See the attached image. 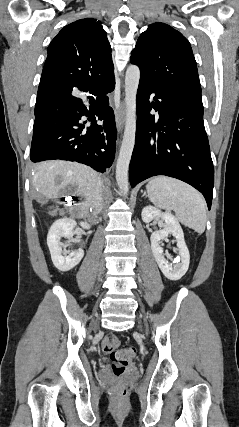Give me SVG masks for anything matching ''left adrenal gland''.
<instances>
[{
	"instance_id": "a2214340",
	"label": "left adrenal gland",
	"mask_w": 239,
	"mask_h": 427,
	"mask_svg": "<svg viewBox=\"0 0 239 427\" xmlns=\"http://www.w3.org/2000/svg\"><path fill=\"white\" fill-rule=\"evenodd\" d=\"M144 196L147 197L146 191H144L142 197H144Z\"/></svg>"
}]
</instances>
